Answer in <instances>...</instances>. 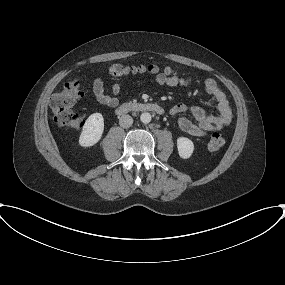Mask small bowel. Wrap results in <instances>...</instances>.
Masks as SVG:
<instances>
[{"label": "small bowel", "mask_w": 285, "mask_h": 285, "mask_svg": "<svg viewBox=\"0 0 285 285\" xmlns=\"http://www.w3.org/2000/svg\"><path fill=\"white\" fill-rule=\"evenodd\" d=\"M156 83L159 86L177 87L191 85L192 80L189 78H180L175 75L168 77L158 75ZM203 86L205 92L216 102L217 113L208 115L198 106L188 107L183 103L174 105L170 110V113L177 117V123L181 131L192 137H205L211 132L220 131L228 126L233 118V111L229 101L217 82L213 78H207ZM93 92L99 103L114 108L120 102L121 85L120 83H114L111 93H107L104 89L102 79L97 78L93 83ZM185 112H189L196 122L184 117L183 114Z\"/></svg>", "instance_id": "obj_1"}]
</instances>
